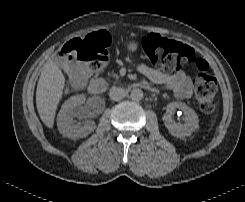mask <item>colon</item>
Wrapping results in <instances>:
<instances>
[{"mask_svg":"<svg viewBox=\"0 0 245 202\" xmlns=\"http://www.w3.org/2000/svg\"><path fill=\"white\" fill-rule=\"evenodd\" d=\"M110 44L109 36L101 32L64 44L57 54L65 62L66 78L71 83H79L81 66L77 61L86 63L92 70L101 69L109 60ZM140 45L146 58L162 71L172 72L193 66L195 100L199 109L205 114L214 110L217 83L208 73L205 64L196 60L195 51L191 46L163 40L153 34L144 35L140 39Z\"/></svg>","mask_w":245,"mask_h":202,"instance_id":"5ec220e1","label":"colon"}]
</instances>
